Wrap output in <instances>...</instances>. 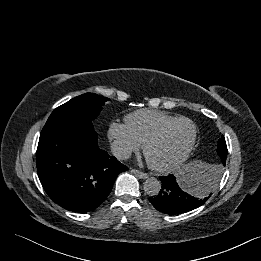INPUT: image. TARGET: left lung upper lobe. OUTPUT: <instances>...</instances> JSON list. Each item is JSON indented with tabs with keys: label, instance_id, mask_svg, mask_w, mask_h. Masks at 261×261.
<instances>
[{
	"label": "left lung upper lobe",
	"instance_id": "left-lung-upper-lobe-1",
	"mask_svg": "<svg viewBox=\"0 0 261 261\" xmlns=\"http://www.w3.org/2000/svg\"><path fill=\"white\" fill-rule=\"evenodd\" d=\"M217 153L220 156L221 160H225L226 161L227 146H226L225 138L223 136L218 141Z\"/></svg>",
	"mask_w": 261,
	"mask_h": 261
}]
</instances>
